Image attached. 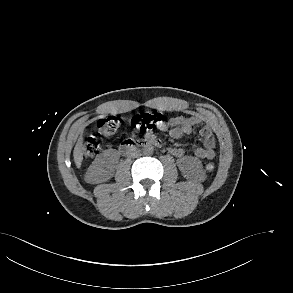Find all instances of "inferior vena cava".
<instances>
[{
	"mask_svg": "<svg viewBox=\"0 0 293 293\" xmlns=\"http://www.w3.org/2000/svg\"><path fill=\"white\" fill-rule=\"evenodd\" d=\"M140 155H141V150L136 147L132 148L128 153V156L131 158H136V157H139Z\"/></svg>",
	"mask_w": 293,
	"mask_h": 293,
	"instance_id": "602c4592",
	"label": "inferior vena cava"
}]
</instances>
